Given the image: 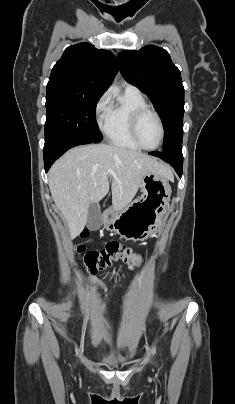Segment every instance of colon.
<instances>
[{
    "label": "colon",
    "mask_w": 235,
    "mask_h": 404,
    "mask_svg": "<svg viewBox=\"0 0 235 404\" xmlns=\"http://www.w3.org/2000/svg\"><path fill=\"white\" fill-rule=\"evenodd\" d=\"M88 231L83 230L81 240L76 246V253L79 259L82 260L84 267L91 273L95 274L98 271L105 270L112 266L113 262L122 260L131 265H139L142 262L140 255L135 253L129 247L121 244L119 241H109L101 249L86 251V246L83 243L88 237Z\"/></svg>",
    "instance_id": "1"
}]
</instances>
